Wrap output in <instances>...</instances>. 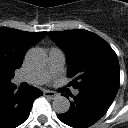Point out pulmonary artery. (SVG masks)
Here are the masks:
<instances>
[{
  "mask_svg": "<svg viewBox=\"0 0 128 128\" xmlns=\"http://www.w3.org/2000/svg\"><path fill=\"white\" fill-rule=\"evenodd\" d=\"M65 64V54L58 48L49 50L48 66L44 70L33 71L30 73L18 75L15 78L16 82H27L32 85H42L49 81L52 75L59 72ZM79 90L73 91L74 95H78Z\"/></svg>",
  "mask_w": 128,
  "mask_h": 128,
  "instance_id": "1",
  "label": "pulmonary artery"
}]
</instances>
